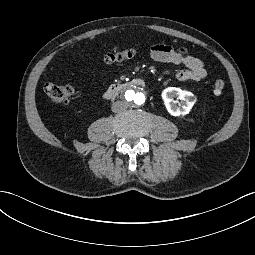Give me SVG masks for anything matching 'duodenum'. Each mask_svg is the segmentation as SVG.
Returning <instances> with one entry per match:
<instances>
[{
	"label": "duodenum",
	"instance_id": "obj_1",
	"mask_svg": "<svg viewBox=\"0 0 255 255\" xmlns=\"http://www.w3.org/2000/svg\"><path fill=\"white\" fill-rule=\"evenodd\" d=\"M146 83L143 79L135 78L129 81L112 84L104 93L106 99H113L119 93L131 89L133 87H145Z\"/></svg>",
	"mask_w": 255,
	"mask_h": 255
}]
</instances>
